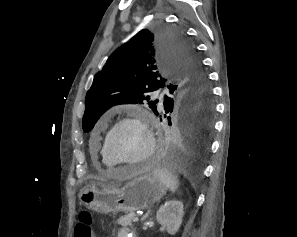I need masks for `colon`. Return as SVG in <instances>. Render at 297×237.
Segmentation results:
<instances>
[{
    "mask_svg": "<svg viewBox=\"0 0 297 237\" xmlns=\"http://www.w3.org/2000/svg\"><path fill=\"white\" fill-rule=\"evenodd\" d=\"M75 237H94L92 219L88 211H82L75 226Z\"/></svg>",
    "mask_w": 297,
    "mask_h": 237,
    "instance_id": "obj_1",
    "label": "colon"
}]
</instances>
